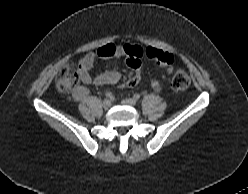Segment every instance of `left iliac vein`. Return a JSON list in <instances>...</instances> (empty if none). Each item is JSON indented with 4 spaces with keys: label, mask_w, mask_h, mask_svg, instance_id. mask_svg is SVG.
<instances>
[{
    "label": "left iliac vein",
    "mask_w": 248,
    "mask_h": 194,
    "mask_svg": "<svg viewBox=\"0 0 248 194\" xmlns=\"http://www.w3.org/2000/svg\"><path fill=\"white\" fill-rule=\"evenodd\" d=\"M122 104L124 105H128V106H135L136 105V101L132 98H125L122 100Z\"/></svg>",
    "instance_id": "4c4485c4"
}]
</instances>
